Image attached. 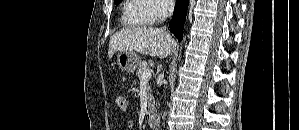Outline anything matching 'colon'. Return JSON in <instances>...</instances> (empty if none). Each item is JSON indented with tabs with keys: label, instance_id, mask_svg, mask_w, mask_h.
I'll list each match as a JSON object with an SVG mask.
<instances>
[{
	"label": "colon",
	"instance_id": "5ec220e1",
	"mask_svg": "<svg viewBox=\"0 0 299 130\" xmlns=\"http://www.w3.org/2000/svg\"><path fill=\"white\" fill-rule=\"evenodd\" d=\"M117 106L120 110L125 111L128 107V100L125 96L120 95L117 97Z\"/></svg>",
	"mask_w": 299,
	"mask_h": 130
}]
</instances>
